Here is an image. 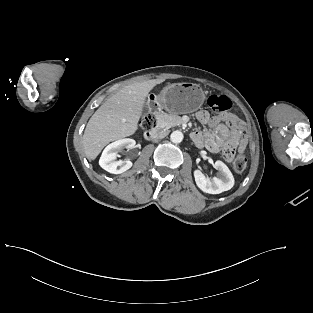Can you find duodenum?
<instances>
[{"label": "duodenum", "instance_id": "duodenum-1", "mask_svg": "<svg viewBox=\"0 0 313 313\" xmlns=\"http://www.w3.org/2000/svg\"><path fill=\"white\" fill-rule=\"evenodd\" d=\"M158 136V130L153 128L145 132V138L148 140L155 139Z\"/></svg>", "mask_w": 313, "mask_h": 313}]
</instances>
